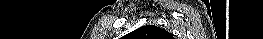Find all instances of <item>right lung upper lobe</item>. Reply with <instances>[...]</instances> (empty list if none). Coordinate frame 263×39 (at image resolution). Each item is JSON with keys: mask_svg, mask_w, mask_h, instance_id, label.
Here are the masks:
<instances>
[{"mask_svg": "<svg viewBox=\"0 0 263 39\" xmlns=\"http://www.w3.org/2000/svg\"><path fill=\"white\" fill-rule=\"evenodd\" d=\"M129 39H173L166 30L154 25H146L129 33Z\"/></svg>", "mask_w": 263, "mask_h": 39, "instance_id": "obj_1", "label": "right lung upper lobe"}]
</instances>
